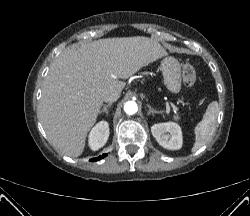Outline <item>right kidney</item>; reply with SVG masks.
Masks as SVG:
<instances>
[{"mask_svg": "<svg viewBox=\"0 0 250 216\" xmlns=\"http://www.w3.org/2000/svg\"><path fill=\"white\" fill-rule=\"evenodd\" d=\"M109 137V125L106 121L97 123L89 133L88 144L93 151L103 147Z\"/></svg>", "mask_w": 250, "mask_h": 216, "instance_id": "1", "label": "right kidney"}]
</instances>
